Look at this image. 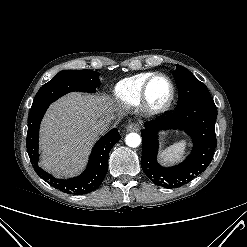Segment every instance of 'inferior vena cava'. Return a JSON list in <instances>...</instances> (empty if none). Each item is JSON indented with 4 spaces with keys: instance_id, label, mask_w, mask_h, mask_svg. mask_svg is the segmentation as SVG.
Wrapping results in <instances>:
<instances>
[{
    "instance_id": "602c4592",
    "label": "inferior vena cava",
    "mask_w": 247,
    "mask_h": 247,
    "mask_svg": "<svg viewBox=\"0 0 247 247\" xmlns=\"http://www.w3.org/2000/svg\"><path fill=\"white\" fill-rule=\"evenodd\" d=\"M112 119V117L99 119L93 124L92 130L98 135L105 133L109 129Z\"/></svg>"
}]
</instances>
